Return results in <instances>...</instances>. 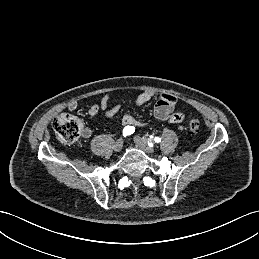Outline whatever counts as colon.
I'll return each mask as SVG.
<instances>
[{"instance_id": "obj_1", "label": "colon", "mask_w": 259, "mask_h": 259, "mask_svg": "<svg viewBox=\"0 0 259 259\" xmlns=\"http://www.w3.org/2000/svg\"><path fill=\"white\" fill-rule=\"evenodd\" d=\"M53 127L57 138L64 144L74 143L82 132L81 121L73 115L63 113L57 116L53 122ZM200 128L198 119H191L189 121V130L193 133Z\"/></svg>"}]
</instances>
